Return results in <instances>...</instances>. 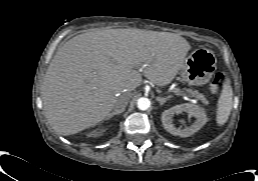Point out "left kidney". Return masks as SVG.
Instances as JSON below:
<instances>
[{
  "label": "left kidney",
  "instance_id": "left-kidney-1",
  "mask_svg": "<svg viewBox=\"0 0 258 181\" xmlns=\"http://www.w3.org/2000/svg\"><path fill=\"white\" fill-rule=\"evenodd\" d=\"M186 112L190 116L196 118L195 122L184 129L176 128L173 124L174 114ZM162 123L164 128L171 134L181 137H189L200 130L208 121L203 108L191 103H184L173 106L162 113Z\"/></svg>",
  "mask_w": 258,
  "mask_h": 181
}]
</instances>
